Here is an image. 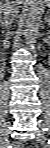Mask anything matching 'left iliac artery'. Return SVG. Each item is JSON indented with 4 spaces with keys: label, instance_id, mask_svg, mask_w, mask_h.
I'll return each instance as SVG.
<instances>
[{
    "label": "left iliac artery",
    "instance_id": "obj_1",
    "mask_svg": "<svg viewBox=\"0 0 50 148\" xmlns=\"http://www.w3.org/2000/svg\"><path fill=\"white\" fill-rule=\"evenodd\" d=\"M43 130H44V131H48V128H44Z\"/></svg>",
    "mask_w": 50,
    "mask_h": 148
}]
</instances>
